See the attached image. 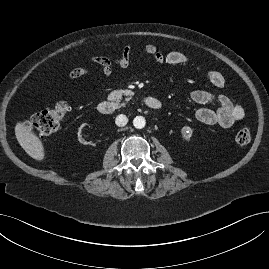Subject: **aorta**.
<instances>
[{
	"instance_id": "aorta-1",
	"label": "aorta",
	"mask_w": 269,
	"mask_h": 269,
	"mask_svg": "<svg viewBox=\"0 0 269 269\" xmlns=\"http://www.w3.org/2000/svg\"><path fill=\"white\" fill-rule=\"evenodd\" d=\"M146 120L142 116H136L133 120V125L137 129H142L145 127Z\"/></svg>"
}]
</instances>
